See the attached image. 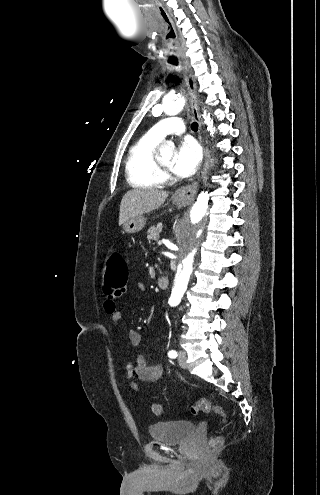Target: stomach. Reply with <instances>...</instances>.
Listing matches in <instances>:
<instances>
[{
    "mask_svg": "<svg viewBox=\"0 0 320 495\" xmlns=\"http://www.w3.org/2000/svg\"><path fill=\"white\" fill-rule=\"evenodd\" d=\"M173 204L177 207H182L186 204V202L177 199L176 197H172ZM146 224V218L142 215H138L136 217L130 218L123 223V229L126 233L133 234L141 231Z\"/></svg>",
    "mask_w": 320,
    "mask_h": 495,
    "instance_id": "obj_1",
    "label": "stomach"
}]
</instances>
